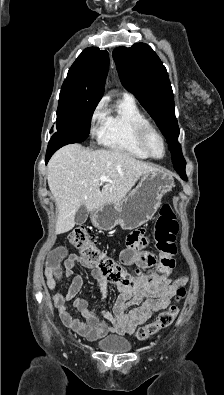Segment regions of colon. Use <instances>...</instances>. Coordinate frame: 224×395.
<instances>
[{"instance_id": "obj_1", "label": "colon", "mask_w": 224, "mask_h": 395, "mask_svg": "<svg viewBox=\"0 0 224 395\" xmlns=\"http://www.w3.org/2000/svg\"><path fill=\"white\" fill-rule=\"evenodd\" d=\"M177 233L178 223L174 210L169 204H164L160 209L154 230V240L160 254L158 271L163 275L169 273L175 266L173 256L176 253L174 241ZM68 239L88 264L97 268L102 274L108 276L110 280L119 282L124 286L135 283L125 270L98 248L88 230L75 228L70 232ZM185 293L184 287L178 288L175 302L162 311L154 321L138 328L136 332L137 339L146 340L169 327L179 313V303L185 296Z\"/></svg>"}]
</instances>
